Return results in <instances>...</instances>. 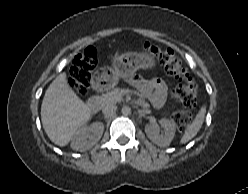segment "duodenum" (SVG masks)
I'll return each mask as SVG.
<instances>
[{
	"mask_svg": "<svg viewBox=\"0 0 248 194\" xmlns=\"http://www.w3.org/2000/svg\"><path fill=\"white\" fill-rule=\"evenodd\" d=\"M101 91V90H100ZM86 108L89 112L94 113L98 110L99 99L97 96L89 97L85 102Z\"/></svg>",
	"mask_w": 248,
	"mask_h": 194,
	"instance_id": "1",
	"label": "duodenum"
}]
</instances>
